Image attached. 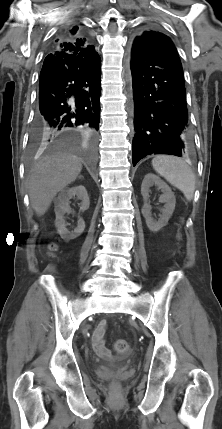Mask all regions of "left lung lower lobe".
Instances as JSON below:
<instances>
[{
    "instance_id": "obj_1",
    "label": "left lung lower lobe",
    "mask_w": 222,
    "mask_h": 429,
    "mask_svg": "<svg viewBox=\"0 0 222 429\" xmlns=\"http://www.w3.org/2000/svg\"><path fill=\"white\" fill-rule=\"evenodd\" d=\"M133 42L130 66L134 99L133 166L151 154L183 156L190 126L182 65L166 35ZM147 44V45H144Z\"/></svg>"
}]
</instances>
